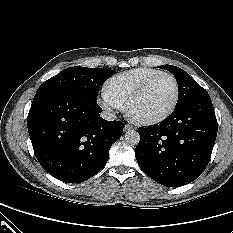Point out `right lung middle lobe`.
Instances as JSON below:
<instances>
[{
  "instance_id": "1",
  "label": "right lung middle lobe",
  "mask_w": 233,
  "mask_h": 233,
  "mask_svg": "<svg viewBox=\"0 0 233 233\" xmlns=\"http://www.w3.org/2000/svg\"><path fill=\"white\" fill-rule=\"evenodd\" d=\"M115 71L105 68L70 67L48 79L38 88L33 103L44 99L48 94L65 90L97 101L101 84Z\"/></svg>"
}]
</instances>
